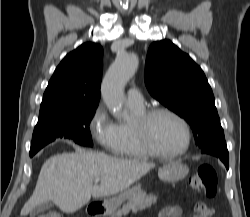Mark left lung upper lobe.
Masks as SVG:
<instances>
[{"instance_id":"1","label":"left lung upper lobe","mask_w":250,"mask_h":217,"mask_svg":"<svg viewBox=\"0 0 250 217\" xmlns=\"http://www.w3.org/2000/svg\"><path fill=\"white\" fill-rule=\"evenodd\" d=\"M145 84L155 99L190 124L200 149L225 140L205 74L170 40L150 45Z\"/></svg>"}]
</instances>
